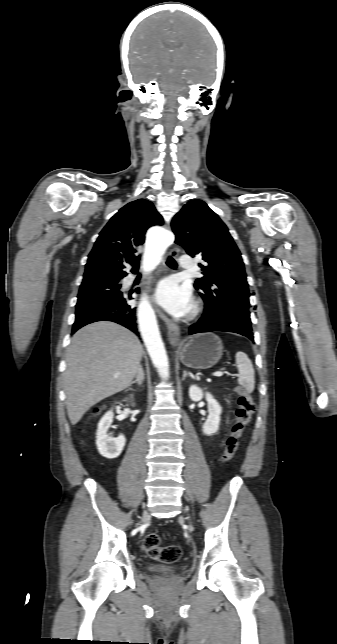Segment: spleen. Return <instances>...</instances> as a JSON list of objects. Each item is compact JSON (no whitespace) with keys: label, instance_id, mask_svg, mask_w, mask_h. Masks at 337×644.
<instances>
[{"label":"spleen","instance_id":"1","mask_svg":"<svg viewBox=\"0 0 337 644\" xmlns=\"http://www.w3.org/2000/svg\"><path fill=\"white\" fill-rule=\"evenodd\" d=\"M236 364L239 372L238 384L243 386L248 393H252L255 388V377L251 360L244 352H237Z\"/></svg>","mask_w":337,"mask_h":644}]
</instances>
